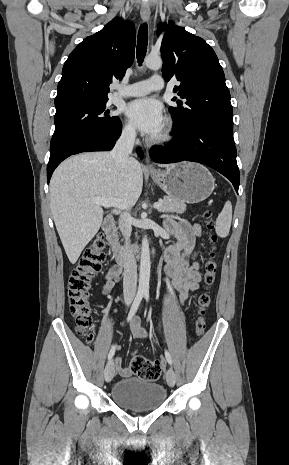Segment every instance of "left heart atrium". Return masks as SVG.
Returning <instances> with one entry per match:
<instances>
[{
  "mask_svg": "<svg viewBox=\"0 0 289 465\" xmlns=\"http://www.w3.org/2000/svg\"><path fill=\"white\" fill-rule=\"evenodd\" d=\"M126 113L139 130L148 136H157L163 128L162 107L153 98H141L132 101L127 106Z\"/></svg>",
  "mask_w": 289,
  "mask_h": 465,
  "instance_id": "39dd6f15",
  "label": "left heart atrium"
}]
</instances>
